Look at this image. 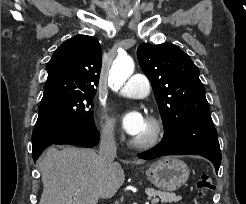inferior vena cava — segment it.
<instances>
[{"label": "inferior vena cava", "instance_id": "1", "mask_svg": "<svg viewBox=\"0 0 246 204\" xmlns=\"http://www.w3.org/2000/svg\"><path fill=\"white\" fill-rule=\"evenodd\" d=\"M116 142L112 129L103 132L100 139V148L98 156L103 165L109 167L113 164L116 157Z\"/></svg>", "mask_w": 246, "mask_h": 204}]
</instances>
